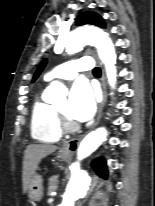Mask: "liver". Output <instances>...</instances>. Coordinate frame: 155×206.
Wrapping results in <instances>:
<instances>
[{
	"label": "liver",
	"mask_w": 155,
	"mask_h": 206,
	"mask_svg": "<svg viewBox=\"0 0 155 206\" xmlns=\"http://www.w3.org/2000/svg\"><path fill=\"white\" fill-rule=\"evenodd\" d=\"M57 150V146L51 144H31L24 151L23 160V190L27 191L29 183L35 174L38 165L44 157Z\"/></svg>",
	"instance_id": "1"
}]
</instances>
